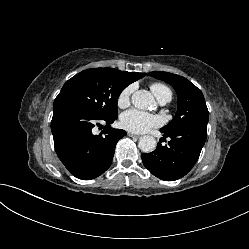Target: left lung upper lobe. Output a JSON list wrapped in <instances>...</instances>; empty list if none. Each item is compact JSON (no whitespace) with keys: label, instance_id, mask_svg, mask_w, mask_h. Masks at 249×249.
Segmentation results:
<instances>
[{"label":"left lung upper lobe","instance_id":"5c2ea615","mask_svg":"<svg viewBox=\"0 0 249 249\" xmlns=\"http://www.w3.org/2000/svg\"><path fill=\"white\" fill-rule=\"evenodd\" d=\"M149 76L171 84L178 96V110L173 120L161 128L170 133L191 125H207L209 112L204 96L199 88L186 78L167 72H150Z\"/></svg>","mask_w":249,"mask_h":249}]
</instances>
